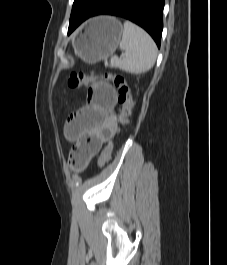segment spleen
I'll list each match as a JSON object with an SVG mask.
<instances>
[{
  "label": "spleen",
  "mask_w": 227,
  "mask_h": 265,
  "mask_svg": "<svg viewBox=\"0 0 227 265\" xmlns=\"http://www.w3.org/2000/svg\"><path fill=\"white\" fill-rule=\"evenodd\" d=\"M119 48L125 57L112 56L110 65L123 71L141 74L149 71L155 64L157 47L150 35L139 26L125 21Z\"/></svg>",
  "instance_id": "3e777b00"
}]
</instances>
